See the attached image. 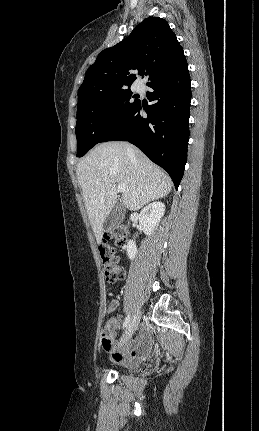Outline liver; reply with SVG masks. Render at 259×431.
Listing matches in <instances>:
<instances>
[{
	"label": "liver",
	"mask_w": 259,
	"mask_h": 431,
	"mask_svg": "<svg viewBox=\"0 0 259 431\" xmlns=\"http://www.w3.org/2000/svg\"><path fill=\"white\" fill-rule=\"evenodd\" d=\"M77 177L98 244L102 242L103 223L117 202V183L126 184L122 202L131 211L166 196L172 188L163 169L138 148L121 141L95 146L79 162Z\"/></svg>",
	"instance_id": "liver-1"
}]
</instances>
